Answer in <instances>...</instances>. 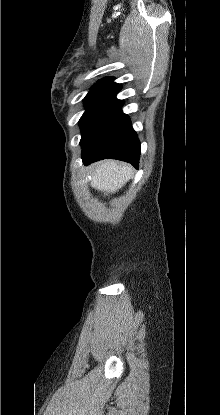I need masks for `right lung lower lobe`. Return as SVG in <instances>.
<instances>
[{
	"instance_id": "obj_1",
	"label": "right lung lower lobe",
	"mask_w": 220,
	"mask_h": 415,
	"mask_svg": "<svg viewBox=\"0 0 220 415\" xmlns=\"http://www.w3.org/2000/svg\"><path fill=\"white\" fill-rule=\"evenodd\" d=\"M140 142L131 126L129 117L119 110L105 126L94 145L88 151H82L85 165L113 158L131 163L138 168Z\"/></svg>"
}]
</instances>
